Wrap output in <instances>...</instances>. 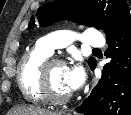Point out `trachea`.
I'll return each instance as SVG.
<instances>
[{"label": "trachea", "instance_id": "3493384b", "mask_svg": "<svg viewBox=\"0 0 131 115\" xmlns=\"http://www.w3.org/2000/svg\"><path fill=\"white\" fill-rule=\"evenodd\" d=\"M93 50H100V49H98V48H94Z\"/></svg>", "mask_w": 131, "mask_h": 115}]
</instances>
